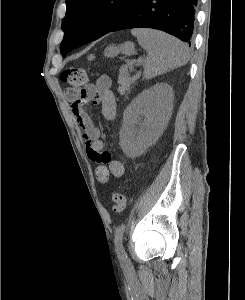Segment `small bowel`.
Instances as JSON below:
<instances>
[{
  "label": "small bowel",
  "instance_id": "obj_1",
  "mask_svg": "<svg viewBox=\"0 0 245 300\" xmlns=\"http://www.w3.org/2000/svg\"><path fill=\"white\" fill-rule=\"evenodd\" d=\"M91 102L99 106L106 119L113 120L116 117V101L108 76H100L95 83L81 93L78 101L72 103V112L82 130L87 156L92 162L98 164L93 165L96 180L99 184H108L111 176L122 177L125 174V167L121 161L113 159L110 153L105 150L101 132L94 125L88 110V104Z\"/></svg>",
  "mask_w": 245,
  "mask_h": 300
}]
</instances>
